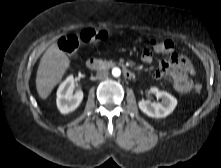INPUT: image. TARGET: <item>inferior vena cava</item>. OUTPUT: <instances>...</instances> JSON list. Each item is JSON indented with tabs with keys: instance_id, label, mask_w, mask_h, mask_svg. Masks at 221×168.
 Returning a JSON list of instances; mask_svg holds the SVG:
<instances>
[{
	"instance_id": "obj_1",
	"label": "inferior vena cava",
	"mask_w": 221,
	"mask_h": 168,
	"mask_svg": "<svg viewBox=\"0 0 221 168\" xmlns=\"http://www.w3.org/2000/svg\"><path fill=\"white\" fill-rule=\"evenodd\" d=\"M108 77V71L106 70H99L96 73V78L99 80L106 79Z\"/></svg>"
}]
</instances>
